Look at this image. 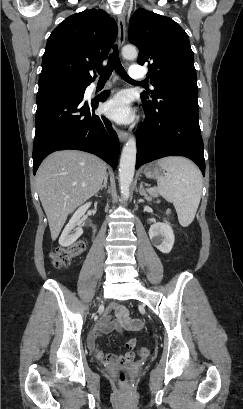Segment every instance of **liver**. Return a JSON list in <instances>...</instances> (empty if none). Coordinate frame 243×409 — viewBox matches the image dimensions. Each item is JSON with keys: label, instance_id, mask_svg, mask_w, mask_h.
Segmentation results:
<instances>
[{"label": "liver", "instance_id": "1", "mask_svg": "<svg viewBox=\"0 0 243 409\" xmlns=\"http://www.w3.org/2000/svg\"><path fill=\"white\" fill-rule=\"evenodd\" d=\"M105 175V162L82 151H57L41 163L36 184L53 241L68 215L100 190Z\"/></svg>", "mask_w": 243, "mask_h": 409}]
</instances>
